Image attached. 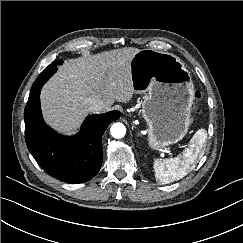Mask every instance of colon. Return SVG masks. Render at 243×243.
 <instances>
[{"mask_svg":"<svg viewBox=\"0 0 243 243\" xmlns=\"http://www.w3.org/2000/svg\"><path fill=\"white\" fill-rule=\"evenodd\" d=\"M197 97H198V98L200 97V93H197Z\"/></svg>","mask_w":243,"mask_h":243,"instance_id":"colon-1","label":"colon"}]
</instances>
